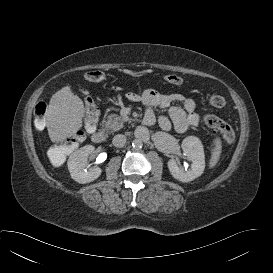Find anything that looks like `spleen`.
Masks as SVG:
<instances>
[{"label":"spleen","instance_id":"spleen-1","mask_svg":"<svg viewBox=\"0 0 273 273\" xmlns=\"http://www.w3.org/2000/svg\"><path fill=\"white\" fill-rule=\"evenodd\" d=\"M213 149H212V154H211V159H210V162H209V166L211 168H213L219 158H220V154H221V149H222V142H221V139L219 137H216L213 141Z\"/></svg>","mask_w":273,"mask_h":273}]
</instances>
